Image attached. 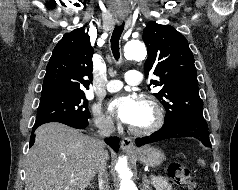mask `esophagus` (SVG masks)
Segmentation results:
<instances>
[{
  "instance_id": "esophagus-1",
  "label": "esophagus",
  "mask_w": 238,
  "mask_h": 190,
  "mask_svg": "<svg viewBox=\"0 0 238 190\" xmlns=\"http://www.w3.org/2000/svg\"><path fill=\"white\" fill-rule=\"evenodd\" d=\"M119 23L122 22V19L118 20ZM121 149L125 152H132L135 150L134 141L130 137H123L121 140Z\"/></svg>"
}]
</instances>
